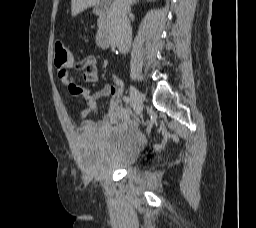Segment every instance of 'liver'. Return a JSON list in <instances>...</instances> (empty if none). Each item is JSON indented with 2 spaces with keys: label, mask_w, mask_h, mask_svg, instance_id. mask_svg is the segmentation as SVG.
<instances>
[{
  "label": "liver",
  "mask_w": 256,
  "mask_h": 228,
  "mask_svg": "<svg viewBox=\"0 0 256 228\" xmlns=\"http://www.w3.org/2000/svg\"><path fill=\"white\" fill-rule=\"evenodd\" d=\"M99 3V0H71V13L72 16H76L85 9L95 6Z\"/></svg>",
  "instance_id": "obj_1"
}]
</instances>
